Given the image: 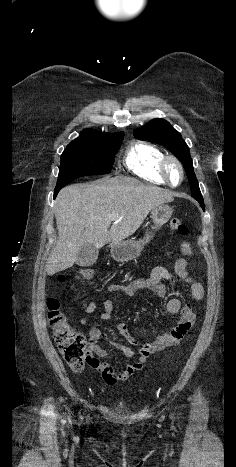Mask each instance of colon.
<instances>
[{
    "mask_svg": "<svg viewBox=\"0 0 236 467\" xmlns=\"http://www.w3.org/2000/svg\"><path fill=\"white\" fill-rule=\"evenodd\" d=\"M169 226L178 236L185 237L188 234V228L181 219H171ZM93 276L94 269L90 267H82L77 271L79 279H91ZM47 307L49 325L53 330V337L60 354L72 371H82L89 360L85 335L71 327L58 299L49 298Z\"/></svg>",
    "mask_w": 236,
    "mask_h": 467,
    "instance_id": "5ec220e1",
    "label": "colon"
}]
</instances>
